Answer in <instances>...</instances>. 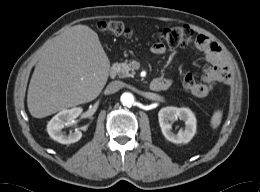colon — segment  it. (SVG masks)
I'll return each instance as SVG.
<instances>
[{
	"instance_id": "5ec220e1",
	"label": "colon",
	"mask_w": 260,
	"mask_h": 192,
	"mask_svg": "<svg viewBox=\"0 0 260 192\" xmlns=\"http://www.w3.org/2000/svg\"><path fill=\"white\" fill-rule=\"evenodd\" d=\"M98 28L100 31L123 39H129L132 36V31L120 21H101L98 23ZM155 37L160 43H166L174 47H186L198 43V37L195 38L193 31L187 26L161 29L156 33ZM196 83L191 74H186L183 78V85L190 92L197 89Z\"/></svg>"
}]
</instances>
